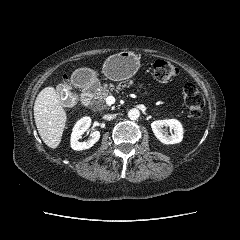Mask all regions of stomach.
I'll return each mask as SVG.
<instances>
[{
  "label": "stomach",
  "mask_w": 240,
  "mask_h": 240,
  "mask_svg": "<svg viewBox=\"0 0 240 240\" xmlns=\"http://www.w3.org/2000/svg\"><path fill=\"white\" fill-rule=\"evenodd\" d=\"M139 65V59L134 53L122 51L105 61L102 72L110 80L120 81L132 77L137 72ZM77 72L86 75L87 78L93 77V72L88 69H79L75 73Z\"/></svg>",
  "instance_id": "stomach-1"
}]
</instances>
